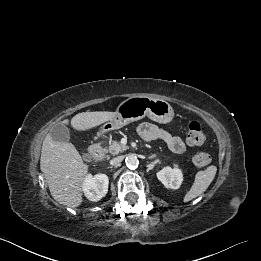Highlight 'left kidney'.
<instances>
[{
	"mask_svg": "<svg viewBox=\"0 0 261 261\" xmlns=\"http://www.w3.org/2000/svg\"><path fill=\"white\" fill-rule=\"evenodd\" d=\"M174 168L164 167L157 173V178L166 188L178 189L183 181L182 171L177 165Z\"/></svg>",
	"mask_w": 261,
	"mask_h": 261,
	"instance_id": "1",
	"label": "left kidney"
}]
</instances>
